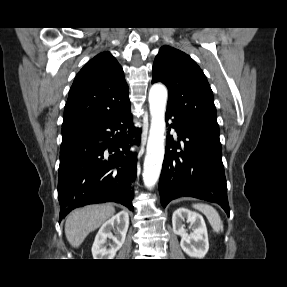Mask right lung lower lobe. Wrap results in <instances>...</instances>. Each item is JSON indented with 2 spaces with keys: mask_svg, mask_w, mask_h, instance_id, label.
I'll list each match as a JSON object with an SVG mask.
<instances>
[{
  "mask_svg": "<svg viewBox=\"0 0 287 287\" xmlns=\"http://www.w3.org/2000/svg\"><path fill=\"white\" fill-rule=\"evenodd\" d=\"M134 133L139 138L140 130L132 124L128 105L62 134L58 173L60 220L73 209L93 203L117 202L133 210L131 183L136 177V156L129 148Z\"/></svg>",
  "mask_w": 287,
  "mask_h": 287,
  "instance_id": "obj_1",
  "label": "right lung lower lobe"
}]
</instances>
